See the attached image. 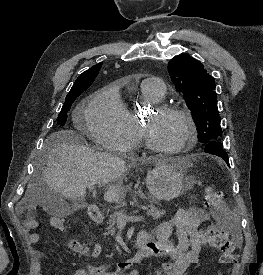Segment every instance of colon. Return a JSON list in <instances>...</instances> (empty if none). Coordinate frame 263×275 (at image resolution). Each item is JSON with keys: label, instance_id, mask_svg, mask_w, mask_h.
Wrapping results in <instances>:
<instances>
[{"label": "colon", "instance_id": "1", "mask_svg": "<svg viewBox=\"0 0 263 275\" xmlns=\"http://www.w3.org/2000/svg\"><path fill=\"white\" fill-rule=\"evenodd\" d=\"M206 204L214 211L218 212L224 207V196L220 191L207 187L205 191ZM54 227L59 229L60 222L55 220ZM64 230V227L61 229ZM205 244L217 248L221 255L219 263L221 265H234L237 261L235 255V245L228 239L226 232L217 226H209L202 233Z\"/></svg>", "mask_w": 263, "mask_h": 275}]
</instances>
